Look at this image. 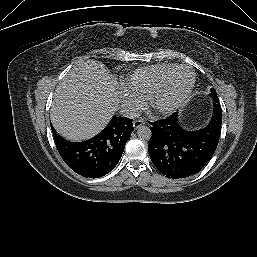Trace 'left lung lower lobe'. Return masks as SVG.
Returning a JSON list of instances; mask_svg holds the SVG:
<instances>
[{
    "label": "left lung lower lobe",
    "instance_id": "0a47b994",
    "mask_svg": "<svg viewBox=\"0 0 257 257\" xmlns=\"http://www.w3.org/2000/svg\"><path fill=\"white\" fill-rule=\"evenodd\" d=\"M151 125L148 151L155 167L169 178L189 177L209 162L217 148L222 125L221 105L213 101L212 117L200 129H185L178 113Z\"/></svg>",
    "mask_w": 257,
    "mask_h": 257
}]
</instances>
